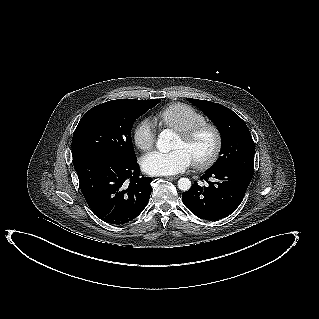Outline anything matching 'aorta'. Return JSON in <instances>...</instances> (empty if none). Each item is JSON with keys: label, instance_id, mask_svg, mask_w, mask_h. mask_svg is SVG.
I'll return each instance as SVG.
<instances>
[{"label": "aorta", "instance_id": "762f6f07", "mask_svg": "<svg viewBox=\"0 0 319 319\" xmlns=\"http://www.w3.org/2000/svg\"><path fill=\"white\" fill-rule=\"evenodd\" d=\"M174 133L165 129L159 134L158 141L156 143L160 152L167 153L173 149ZM178 188L182 191H188L191 188V181L188 178H180L178 180Z\"/></svg>", "mask_w": 319, "mask_h": 319}]
</instances>
